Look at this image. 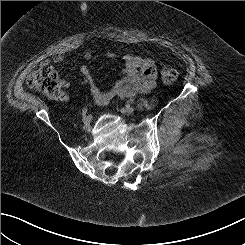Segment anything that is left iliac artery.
I'll return each instance as SVG.
<instances>
[{
	"mask_svg": "<svg viewBox=\"0 0 245 245\" xmlns=\"http://www.w3.org/2000/svg\"><path fill=\"white\" fill-rule=\"evenodd\" d=\"M127 102L130 103V104H133V103H135V100L130 98Z\"/></svg>",
	"mask_w": 245,
	"mask_h": 245,
	"instance_id": "1",
	"label": "left iliac artery"
}]
</instances>
